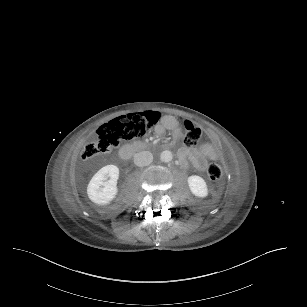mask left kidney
<instances>
[{
	"instance_id": "1",
	"label": "left kidney",
	"mask_w": 307,
	"mask_h": 307,
	"mask_svg": "<svg viewBox=\"0 0 307 307\" xmlns=\"http://www.w3.org/2000/svg\"><path fill=\"white\" fill-rule=\"evenodd\" d=\"M187 184L190 192L194 196L199 198H206L208 196V186L202 177L191 175L187 178Z\"/></svg>"
}]
</instances>
